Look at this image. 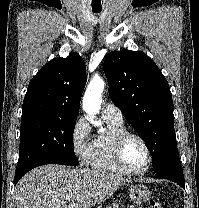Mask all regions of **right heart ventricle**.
<instances>
[{
    "label": "right heart ventricle",
    "mask_w": 199,
    "mask_h": 208,
    "mask_svg": "<svg viewBox=\"0 0 199 208\" xmlns=\"http://www.w3.org/2000/svg\"><path fill=\"white\" fill-rule=\"evenodd\" d=\"M104 120L107 124V131L93 140L90 166L100 171L125 174L126 172L114 160L113 144L119 134L127 131L126 127L123 122H115L106 118Z\"/></svg>",
    "instance_id": "e07e8e85"
}]
</instances>
